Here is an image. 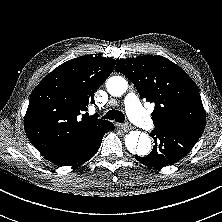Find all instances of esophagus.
<instances>
[{
  "instance_id": "1",
  "label": "esophagus",
  "mask_w": 222,
  "mask_h": 222,
  "mask_svg": "<svg viewBox=\"0 0 222 222\" xmlns=\"http://www.w3.org/2000/svg\"><path fill=\"white\" fill-rule=\"evenodd\" d=\"M116 127L123 131H127L130 129V125L128 124H116Z\"/></svg>"
}]
</instances>
